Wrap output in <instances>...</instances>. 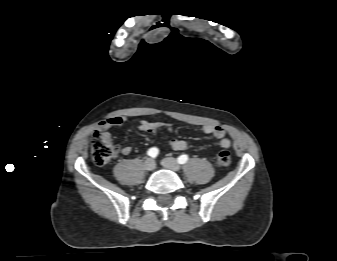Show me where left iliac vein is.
I'll use <instances>...</instances> for the list:
<instances>
[{"label": "left iliac vein", "instance_id": "4c4485c4", "mask_svg": "<svg viewBox=\"0 0 337 261\" xmlns=\"http://www.w3.org/2000/svg\"><path fill=\"white\" fill-rule=\"evenodd\" d=\"M162 165L167 168L170 169L174 172H177L180 170L181 166L179 165V163L176 161V159L172 158V157H168V158H164L162 160Z\"/></svg>", "mask_w": 337, "mask_h": 261}]
</instances>
